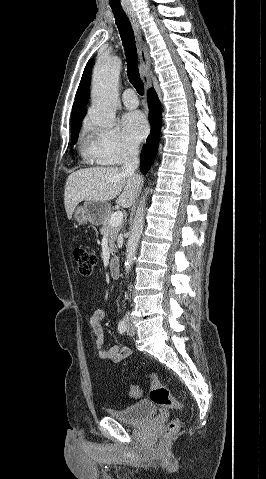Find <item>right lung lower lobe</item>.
Wrapping results in <instances>:
<instances>
[{
  "label": "right lung lower lobe",
  "instance_id": "98d812e1",
  "mask_svg": "<svg viewBox=\"0 0 266 479\" xmlns=\"http://www.w3.org/2000/svg\"><path fill=\"white\" fill-rule=\"evenodd\" d=\"M149 105V121L151 124V134L147 138L146 144L143 146L140 157V169L143 174H146L154 162L158 146L159 136L162 126V111L161 103L158 99L157 93L153 88H150L147 93Z\"/></svg>",
  "mask_w": 266,
  "mask_h": 479
}]
</instances>
